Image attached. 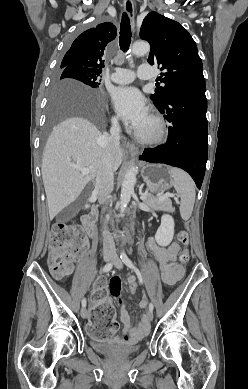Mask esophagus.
<instances>
[{
  "instance_id": "obj_1",
  "label": "esophagus",
  "mask_w": 248,
  "mask_h": 389,
  "mask_svg": "<svg viewBox=\"0 0 248 389\" xmlns=\"http://www.w3.org/2000/svg\"><path fill=\"white\" fill-rule=\"evenodd\" d=\"M124 9L130 19L132 20V23H134V4L132 0H124L123 2ZM127 147L129 149V152L133 158L137 157L139 153V149L137 146H135L133 143H128Z\"/></svg>"
}]
</instances>
